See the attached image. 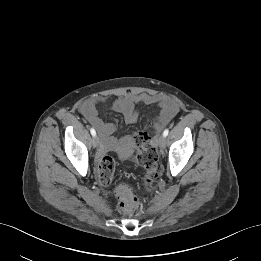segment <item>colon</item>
Segmentation results:
<instances>
[{
    "label": "colon",
    "mask_w": 261,
    "mask_h": 261,
    "mask_svg": "<svg viewBox=\"0 0 261 261\" xmlns=\"http://www.w3.org/2000/svg\"><path fill=\"white\" fill-rule=\"evenodd\" d=\"M132 140L137 149V161L144 169L142 186L145 189H149L153 186L158 176V154L156 148L151 145L147 131L134 133L132 135ZM114 171V159L111 156H104L99 164V179L103 186L110 184ZM116 194L120 201L121 210L124 213H131L137 208V198L128 185L120 184L116 188Z\"/></svg>",
    "instance_id": "1"
}]
</instances>
